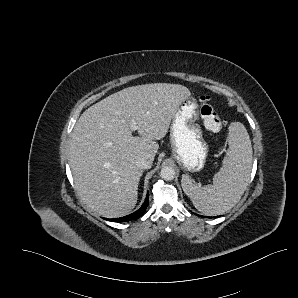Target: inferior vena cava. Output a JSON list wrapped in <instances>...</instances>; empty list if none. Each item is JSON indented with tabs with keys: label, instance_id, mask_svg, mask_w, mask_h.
Wrapping results in <instances>:
<instances>
[{
	"label": "inferior vena cava",
	"instance_id": "obj_1",
	"mask_svg": "<svg viewBox=\"0 0 298 298\" xmlns=\"http://www.w3.org/2000/svg\"><path fill=\"white\" fill-rule=\"evenodd\" d=\"M136 167L141 170L151 169L152 161L145 159L144 157H140L136 160Z\"/></svg>",
	"mask_w": 298,
	"mask_h": 298
}]
</instances>
